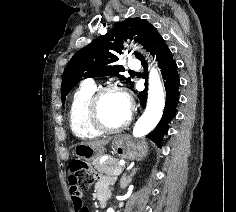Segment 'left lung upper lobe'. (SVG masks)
<instances>
[{"label": "left lung upper lobe", "mask_w": 236, "mask_h": 212, "mask_svg": "<svg viewBox=\"0 0 236 212\" xmlns=\"http://www.w3.org/2000/svg\"><path fill=\"white\" fill-rule=\"evenodd\" d=\"M152 24L141 18H129L117 23L106 35L92 41L89 45L78 51L68 62L62 78L61 98L64 104L66 95L82 79L99 76H117L129 82L132 86L131 78L119 75L124 71L122 65H118V55L122 54L123 41L134 39L147 47V41ZM138 59L142 55L135 52Z\"/></svg>", "instance_id": "5c2ea615"}]
</instances>
